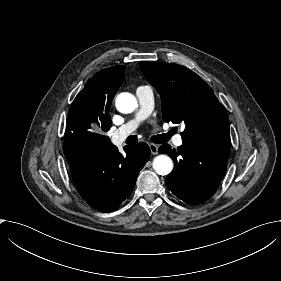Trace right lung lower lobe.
<instances>
[{"label": "right lung lower lobe", "mask_w": 281, "mask_h": 281, "mask_svg": "<svg viewBox=\"0 0 281 281\" xmlns=\"http://www.w3.org/2000/svg\"><path fill=\"white\" fill-rule=\"evenodd\" d=\"M63 150L81 197L101 212L117 209L131 194L150 156L144 142L125 146L122 155L107 136L95 133L65 136Z\"/></svg>", "instance_id": "right-lung-lower-lobe-1"}]
</instances>
